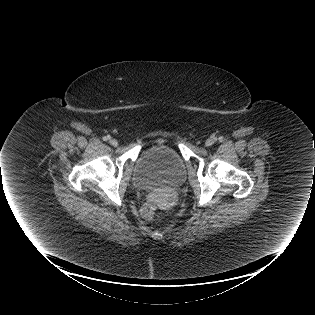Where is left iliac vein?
<instances>
[{
	"label": "left iliac vein",
	"mask_w": 315,
	"mask_h": 315,
	"mask_svg": "<svg viewBox=\"0 0 315 315\" xmlns=\"http://www.w3.org/2000/svg\"><path fill=\"white\" fill-rule=\"evenodd\" d=\"M214 144V140L213 139H208L206 142H205V145L207 146V147H209V146H211V145H213Z\"/></svg>",
	"instance_id": "4c4485c4"
}]
</instances>
